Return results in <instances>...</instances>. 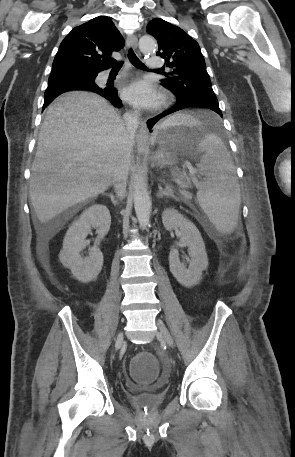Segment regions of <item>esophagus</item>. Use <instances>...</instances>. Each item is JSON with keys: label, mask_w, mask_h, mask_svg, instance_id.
Instances as JSON below:
<instances>
[{"label": "esophagus", "mask_w": 295, "mask_h": 457, "mask_svg": "<svg viewBox=\"0 0 295 457\" xmlns=\"http://www.w3.org/2000/svg\"><path fill=\"white\" fill-rule=\"evenodd\" d=\"M126 44L128 48H137V36L136 35H129ZM148 137H149V130L146 127L145 122H141V125L138 130L137 134V143L138 146L142 147L143 150H146L147 147V142H148Z\"/></svg>", "instance_id": "esophagus-1"}]
</instances>
